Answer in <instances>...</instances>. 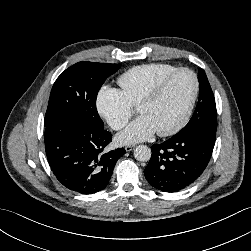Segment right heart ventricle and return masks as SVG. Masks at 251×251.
<instances>
[{
    "label": "right heart ventricle",
    "mask_w": 251,
    "mask_h": 251,
    "mask_svg": "<svg viewBox=\"0 0 251 251\" xmlns=\"http://www.w3.org/2000/svg\"><path fill=\"white\" fill-rule=\"evenodd\" d=\"M178 69L167 63L135 66L119 76L117 82L130 105H137L148 91L162 78Z\"/></svg>",
    "instance_id": "e07e8e85"
}]
</instances>
